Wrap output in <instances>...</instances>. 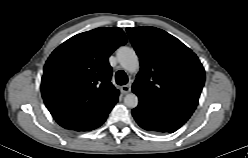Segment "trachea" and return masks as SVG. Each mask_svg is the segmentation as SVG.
Returning <instances> with one entry per match:
<instances>
[{
  "label": "trachea",
  "mask_w": 248,
  "mask_h": 158,
  "mask_svg": "<svg viewBox=\"0 0 248 158\" xmlns=\"http://www.w3.org/2000/svg\"><path fill=\"white\" fill-rule=\"evenodd\" d=\"M116 82L118 85H125L128 82V77L124 71L122 70L117 71Z\"/></svg>",
  "instance_id": "obj_1"
}]
</instances>
